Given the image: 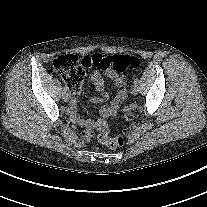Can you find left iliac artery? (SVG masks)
Listing matches in <instances>:
<instances>
[{"label":"left iliac artery","instance_id":"obj_1","mask_svg":"<svg viewBox=\"0 0 207 207\" xmlns=\"http://www.w3.org/2000/svg\"><path fill=\"white\" fill-rule=\"evenodd\" d=\"M138 83H139V79L136 78V79L134 80V84H138Z\"/></svg>","mask_w":207,"mask_h":207}]
</instances>
